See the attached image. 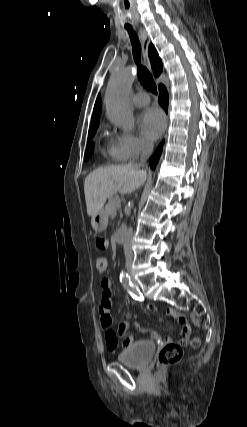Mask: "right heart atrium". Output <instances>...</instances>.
Listing matches in <instances>:
<instances>
[{"mask_svg":"<svg viewBox=\"0 0 247 427\" xmlns=\"http://www.w3.org/2000/svg\"><path fill=\"white\" fill-rule=\"evenodd\" d=\"M112 146L117 160L120 161L135 159L150 147L145 139L131 133L116 135Z\"/></svg>","mask_w":247,"mask_h":427,"instance_id":"1","label":"right heart atrium"}]
</instances>
